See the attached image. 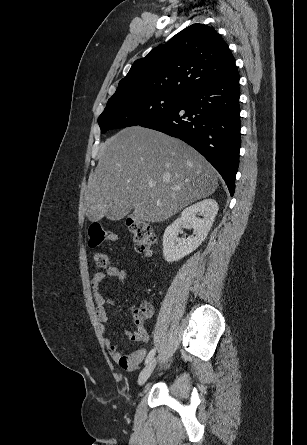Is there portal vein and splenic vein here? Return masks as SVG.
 Here are the masks:
<instances>
[{
	"label": "portal vein and splenic vein",
	"instance_id": "1",
	"mask_svg": "<svg viewBox=\"0 0 307 445\" xmlns=\"http://www.w3.org/2000/svg\"><path fill=\"white\" fill-rule=\"evenodd\" d=\"M150 186H155V182H149ZM180 186H177V188H173V190H179Z\"/></svg>",
	"mask_w": 307,
	"mask_h": 445
}]
</instances>
